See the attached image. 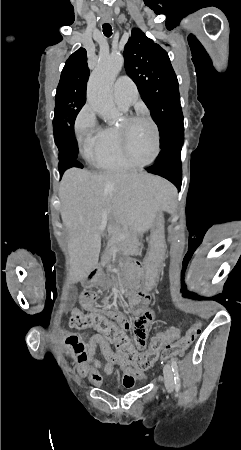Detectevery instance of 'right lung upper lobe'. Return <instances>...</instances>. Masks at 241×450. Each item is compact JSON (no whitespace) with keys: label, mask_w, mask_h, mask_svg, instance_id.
I'll return each instance as SVG.
<instances>
[{"label":"right lung upper lobe","mask_w":241,"mask_h":450,"mask_svg":"<svg viewBox=\"0 0 241 450\" xmlns=\"http://www.w3.org/2000/svg\"><path fill=\"white\" fill-rule=\"evenodd\" d=\"M86 61L87 55L84 48H80L74 52L65 63L59 83L88 81L89 68Z\"/></svg>","instance_id":"right-lung-upper-lobe-1"}]
</instances>
